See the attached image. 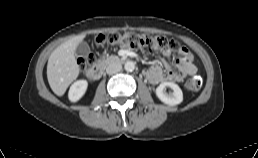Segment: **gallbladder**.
Segmentation results:
<instances>
[{
    "mask_svg": "<svg viewBox=\"0 0 258 158\" xmlns=\"http://www.w3.org/2000/svg\"><path fill=\"white\" fill-rule=\"evenodd\" d=\"M90 53V47L86 42H80L75 50L77 57L87 58Z\"/></svg>",
    "mask_w": 258,
    "mask_h": 158,
    "instance_id": "gallbladder-1",
    "label": "gallbladder"
}]
</instances>
